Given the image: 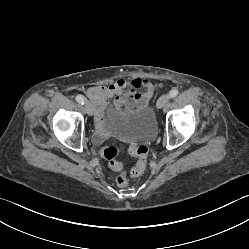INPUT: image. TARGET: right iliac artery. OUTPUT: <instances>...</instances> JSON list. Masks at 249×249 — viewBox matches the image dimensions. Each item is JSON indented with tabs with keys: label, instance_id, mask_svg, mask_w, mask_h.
Returning <instances> with one entry per match:
<instances>
[{
	"label": "right iliac artery",
	"instance_id": "right-iliac-artery-1",
	"mask_svg": "<svg viewBox=\"0 0 249 249\" xmlns=\"http://www.w3.org/2000/svg\"><path fill=\"white\" fill-rule=\"evenodd\" d=\"M75 99H76V101H77L78 103H80V104H84L85 101H86L85 97L82 96V95H77Z\"/></svg>",
	"mask_w": 249,
	"mask_h": 249
}]
</instances>
